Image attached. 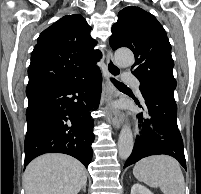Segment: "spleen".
Segmentation results:
<instances>
[{
    "label": "spleen",
    "mask_w": 201,
    "mask_h": 194,
    "mask_svg": "<svg viewBox=\"0 0 201 194\" xmlns=\"http://www.w3.org/2000/svg\"><path fill=\"white\" fill-rule=\"evenodd\" d=\"M138 181L150 187H159L164 194H184L185 182L179 163L167 155L140 160L133 169Z\"/></svg>",
    "instance_id": "spleen-1"
}]
</instances>
